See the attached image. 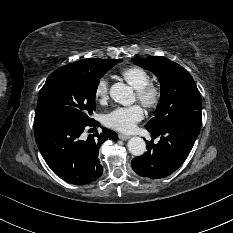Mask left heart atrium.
Here are the masks:
<instances>
[{
	"label": "left heart atrium",
	"instance_id": "left-heart-atrium-1",
	"mask_svg": "<svg viewBox=\"0 0 233 233\" xmlns=\"http://www.w3.org/2000/svg\"><path fill=\"white\" fill-rule=\"evenodd\" d=\"M144 118V112L138 105L118 107L105 116V124L122 132L132 131Z\"/></svg>",
	"mask_w": 233,
	"mask_h": 233
}]
</instances>
